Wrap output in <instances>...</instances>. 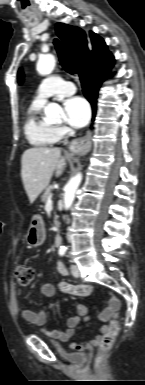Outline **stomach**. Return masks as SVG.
Returning <instances> with one entry per match:
<instances>
[{"label": "stomach", "mask_w": 145, "mask_h": 385, "mask_svg": "<svg viewBox=\"0 0 145 385\" xmlns=\"http://www.w3.org/2000/svg\"><path fill=\"white\" fill-rule=\"evenodd\" d=\"M45 228L42 219L34 216L26 234V242L31 247H37L45 241Z\"/></svg>", "instance_id": "stomach-1"}]
</instances>
